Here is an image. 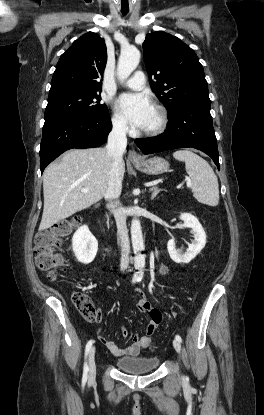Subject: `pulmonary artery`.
<instances>
[{
    "instance_id": "e3ab8cb5",
    "label": "pulmonary artery",
    "mask_w": 264,
    "mask_h": 415,
    "mask_svg": "<svg viewBox=\"0 0 264 415\" xmlns=\"http://www.w3.org/2000/svg\"><path fill=\"white\" fill-rule=\"evenodd\" d=\"M145 75L142 71L135 72L126 82L124 85L133 90H140L145 87Z\"/></svg>"
}]
</instances>
